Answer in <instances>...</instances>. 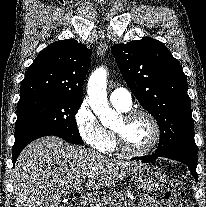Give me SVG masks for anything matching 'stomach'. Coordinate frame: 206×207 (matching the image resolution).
<instances>
[{
	"label": "stomach",
	"mask_w": 206,
	"mask_h": 207,
	"mask_svg": "<svg viewBox=\"0 0 206 207\" xmlns=\"http://www.w3.org/2000/svg\"><path fill=\"white\" fill-rule=\"evenodd\" d=\"M166 175L157 166L142 164L133 175V181L137 188L148 193H154L164 187Z\"/></svg>",
	"instance_id": "obj_1"
}]
</instances>
